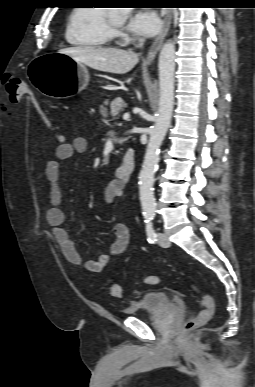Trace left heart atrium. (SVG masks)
Masks as SVG:
<instances>
[{
    "mask_svg": "<svg viewBox=\"0 0 255 387\" xmlns=\"http://www.w3.org/2000/svg\"><path fill=\"white\" fill-rule=\"evenodd\" d=\"M162 26L159 16L151 10H139L129 20L127 28L135 35L153 37Z\"/></svg>",
    "mask_w": 255,
    "mask_h": 387,
    "instance_id": "1",
    "label": "left heart atrium"
}]
</instances>
